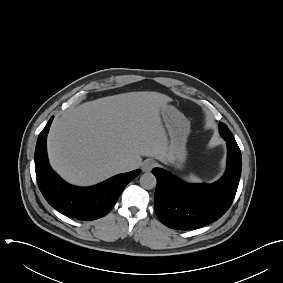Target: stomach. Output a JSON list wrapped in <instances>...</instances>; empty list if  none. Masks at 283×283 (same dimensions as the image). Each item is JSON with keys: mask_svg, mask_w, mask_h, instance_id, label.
Listing matches in <instances>:
<instances>
[{"mask_svg": "<svg viewBox=\"0 0 283 283\" xmlns=\"http://www.w3.org/2000/svg\"><path fill=\"white\" fill-rule=\"evenodd\" d=\"M170 138L169 160L177 167H181L186 160V142L190 133L188 119L175 107L165 105L161 110Z\"/></svg>", "mask_w": 283, "mask_h": 283, "instance_id": "obj_1", "label": "stomach"}]
</instances>
